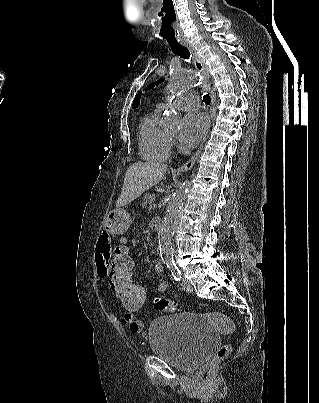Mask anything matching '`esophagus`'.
I'll use <instances>...</instances> for the list:
<instances>
[{"label":"esophagus","instance_id":"obj_1","mask_svg":"<svg viewBox=\"0 0 319 403\" xmlns=\"http://www.w3.org/2000/svg\"><path fill=\"white\" fill-rule=\"evenodd\" d=\"M181 44L190 50V52H191V54H192V57H193V61H194L195 68H196L202 75H204L205 77H207V79H209V78H210L209 69H208V67L204 64L202 58L198 55V53L196 52V50H195V48L192 46V44H190V43H189L188 41H186V40H182V41H181ZM208 89H209L210 96H211V105H210V110H209V113H210V125H209V127H208V130H207V132H206V134H205V136H204V138H203V141H202V143H201L199 149H198V150L196 151V153L191 157L190 160H188L185 164L181 165V166L177 169L178 172H185V171L190 170V169L193 167V165H194L195 162L197 161V159H198V157H199V155H200V153H201V151H202V149H203V145H204V143H205V141H206V139H207V135H208L209 129H210L211 125H212L213 122H214L216 98H215L214 92H213V90H212V88H211V86H210V83L208 84Z\"/></svg>","mask_w":319,"mask_h":403}]
</instances>
